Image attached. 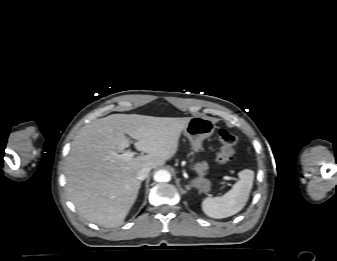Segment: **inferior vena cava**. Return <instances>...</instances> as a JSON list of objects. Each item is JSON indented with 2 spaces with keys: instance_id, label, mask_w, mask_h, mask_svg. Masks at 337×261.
<instances>
[{
  "instance_id": "inferior-vena-cava-1",
  "label": "inferior vena cava",
  "mask_w": 337,
  "mask_h": 261,
  "mask_svg": "<svg viewBox=\"0 0 337 261\" xmlns=\"http://www.w3.org/2000/svg\"><path fill=\"white\" fill-rule=\"evenodd\" d=\"M150 170H151V168H149V167L141 168L137 172V179L139 181H142V180L146 179L148 177V174H149Z\"/></svg>"
}]
</instances>
